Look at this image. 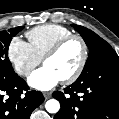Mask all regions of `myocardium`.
<instances>
[{
    "label": "myocardium",
    "instance_id": "f54148a6",
    "mask_svg": "<svg viewBox=\"0 0 119 119\" xmlns=\"http://www.w3.org/2000/svg\"><path fill=\"white\" fill-rule=\"evenodd\" d=\"M73 40H77L81 44L82 58L76 70L72 74H70L68 77L61 80L64 84H70V83H73L75 80H77L79 76L82 74L87 64L88 57H89V49L84 38L77 34L69 35L61 39L60 41H58L53 47H51L48 50V52L43 57V63H45L47 59L56 56L68 43H70Z\"/></svg>",
    "mask_w": 119,
    "mask_h": 119
}]
</instances>
